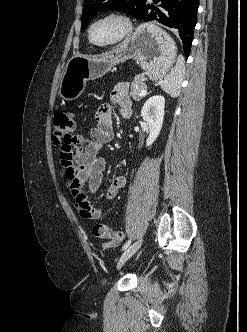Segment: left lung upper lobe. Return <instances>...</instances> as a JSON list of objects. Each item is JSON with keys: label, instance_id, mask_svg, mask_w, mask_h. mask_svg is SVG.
Instances as JSON below:
<instances>
[{"label": "left lung upper lobe", "instance_id": "left-lung-upper-lobe-1", "mask_svg": "<svg viewBox=\"0 0 247 332\" xmlns=\"http://www.w3.org/2000/svg\"><path fill=\"white\" fill-rule=\"evenodd\" d=\"M147 0H85L82 11L81 30H84L94 15L104 9L126 12L139 19Z\"/></svg>", "mask_w": 247, "mask_h": 332}]
</instances>
